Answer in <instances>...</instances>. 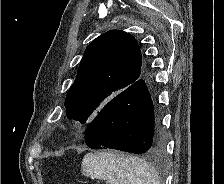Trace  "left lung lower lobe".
Returning a JSON list of instances; mask_svg holds the SVG:
<instances>
[{
	"instance_id": "obj_1",
	"label": "left lung lower lobe",
	"mask_w": 224,
	"mask_h": 184,
	"mask_svg": "<svg viewBox=\"0 0 224 184\" xmlns=\"http://www.w3.org/2000/svg\"><path fill=\"white\" fill-rule=\"evenodd\" d=\"M85 142L92 149L160 154L165 146L154 106L143 79L108 101L90 122Z\"/></svg>"
}]
</instances>
